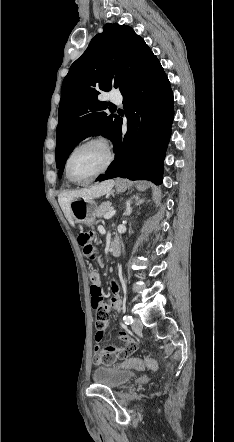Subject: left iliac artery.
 <instances>
[{
    "label": "left iliac artery",
    "instance_id": "44dca946",
    "mask_svg": "<svg viewBox=\"0 0 234 442\" xmlns=\"http://www.w3.org/2000/svg\"><path fill=\"white\" fill-rule=\"evenodd\" d=\"M123 320H124L125 324H127V325L133 323V318H132L131 316H127V315H125V316L123 317Z\"/></svg>",
    "mask_w": 234,
    "mask_h": 442
}]
</instances>
